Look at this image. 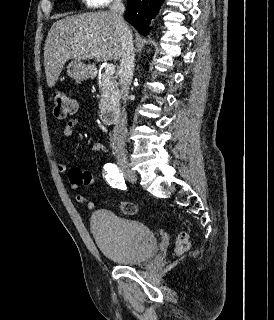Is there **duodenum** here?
Instances as JSON below:
<instances>
[{
	"mask_svg": "<svg viewBox=\"0 0 274 320\" xmlns=\"http://www.w3.org/2000/svg\"><path fill=\"white\" fill-rule=\"evenodd\" d=\"M100 120L106 124H114L120 118V110L116 107L104 108L99 112Z\"/></svg>",
	"mask_w": 274,
	"mask_h": 320,
	"instance_id": "1",
	"label": "duodenum"
}]
</instances>
